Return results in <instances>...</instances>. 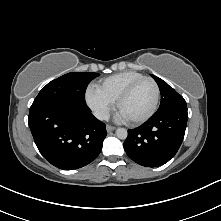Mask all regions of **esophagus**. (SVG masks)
I'll list each match as a JSON object with an SVG mask.
<instances>
[{"label": "esophagus", "mask_w": 221, "mask_h": 221, "mask_svg": "<svg viewBox=\"0 0 221 221\" xmlns=\"http://www.w3.org/2000/svg\"><path fill=\"white\" fill-rule=\"evenodd\" d=\"M106 130H107V132H111V131L115 130V127L111 126V125H107Z\"/></svg>", "instance_id": "esophagus-1"}]
</instances>
